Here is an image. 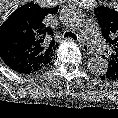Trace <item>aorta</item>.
<instances>
[{
	"mask_svg": "<svg viewBox=\"0 0 118 118\" xmlns=\"http://www.w3.org/2000/svg\"><path fill=\"white\" fill-rule=\"evenodd\" d=\"M60 18L65 25L76 30L80 29L84 22L83 14L74 6L65 8ZM88 68L94 74H104L108 69V62L101 56L91 57L88 60Z\"/></svg>",
	"mask_w": 118,
	"mask_h": 118,
	"instance_id": "1",
	"label": "aorta"
}]
</instances>
